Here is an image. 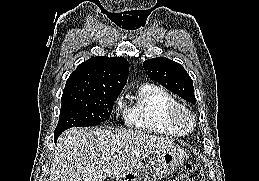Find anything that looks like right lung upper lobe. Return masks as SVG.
<instances>
[{
    "label": "right lung upper lobe",
    "instance_id": "1",
    "mask_svg": "<svg viewBox=\"0 0 259 181\" xmlns=\"http://www.w3.org/2000/svg\"><path fill=\"white\" fill-rule=\"evenodd\" d=\"M129 63L124 57H92L67 79L64 91L120 94L127 82Z\"/></svg>",
    "mask_w": 259,
    "mask_h": 181
}]
</instances>
